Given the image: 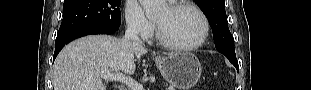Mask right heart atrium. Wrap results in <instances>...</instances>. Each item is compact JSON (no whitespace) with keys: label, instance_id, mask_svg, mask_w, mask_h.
I'll use <instances>...</instances> for the list:
<instances>
[{"label":"right heart atrium","instance_id":"1","mask_svg":"<svg viewBox=\"0 0 311 90\" xmlns=\"http://www.w3.org/2000/svg\"><path fill=\"white\" fill-rule=\"evenodd\" d=\"M125 21L128 30L142 39H148L154 32L153 22L146 16L141 5L136 0L127 1Z\"/></svg>","mask_w":311,"mask_h":90}]
</instances>
